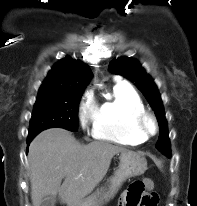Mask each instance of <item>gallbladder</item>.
I'll return each instance as SVG.
<instances>
[{
    "label": "gallbladder",
    "mask_w": 197,
    "mask_h": 206,
    "mask_svg": "<svg viewBox=\"0 0 197 206\" xmlns=\"http://www.w3.org/2000/svg\"><path fill=\"white\" fill-rule=\"evenodd\" d=\"M56 198L52 196H47L43 199L41 206H55Z\"/></svg>",
    "instance_id": "obj_1"
}]
</instances>
